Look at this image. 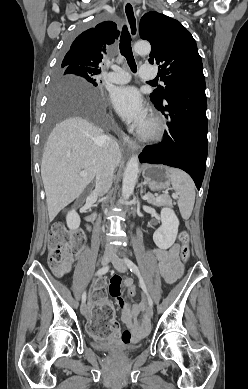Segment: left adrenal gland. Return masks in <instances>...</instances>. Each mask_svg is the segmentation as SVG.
<instances>
[{"instance_id": "obj_1", "label": "left adrenal gland", "mask_w": 248, "mask_h": 389, "mask_svg": "<svg viewBox=\"0 0 248 389\" xmlns=\"http://www.w3.org/2000/svg\"><path fill=\"white\" fill-rule=\"evenodd\" d=\"M143 186H144V184H143V183H141L140 194H141V197H142V198H143V193H144Z\"/></svg>"}]
</instances>
